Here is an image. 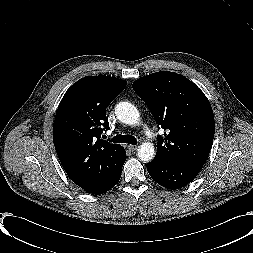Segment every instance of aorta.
<instances>
[{
	"label": "aorta",
	"instance_id": "1",
	"mask_svg": "<svg viewBox=\"0 0 253 253\" xmlns=\"http://www.w3.org/2000/svg\"><path fill=\"white\" fill-rule=\"evenodd\" d=\"M117 118L125 124L137 125L139 123V112L137 108L129 102H120L115 107ZM138 157L143 162L153 160L155 156V148L152 143L145 142L138 148Z\"/></svg>",
	"mask_w": 253,
	"mask_h": 253
}]
</instances>
